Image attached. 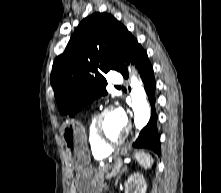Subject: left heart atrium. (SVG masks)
Masks as SVG:
<instances>
[{
  "instance_id": "obj_1",
  "label": "left heart atrium",
  "mask_w": 221,
  "mask_h": 193,
  "mask_svg": "<svg viewBox=\"0 0 221 193\" xmlns=\"http://www.w3.org/2000/svg\"><path fill=\"white\" fill-rule=\"evenodd\" d=\"M115 113L117 114V116L119 117V119L123 122V123H127V115L125 113V111L122 108H117L115 110Z\"/></svg>"
}]
</instances>
